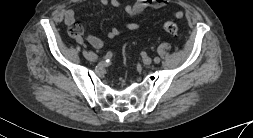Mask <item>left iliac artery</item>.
<instances>
[{
	"instance_id": "44dca946",
	"label": "left iliac artery",
	"mask_w": 253,
	"mask_h": 138,
	"mask_svg": "<svg viewBox=\"0 0 253 138\" xmlns=\"http://www.w3.org/2000/svg\"><path fill=\"white\" fill-rule=\"evenodd\" d=\"M154 62L158 64L160 62V58L159 57H155L154 58Z\"/></svg>"
}]
</instances>
